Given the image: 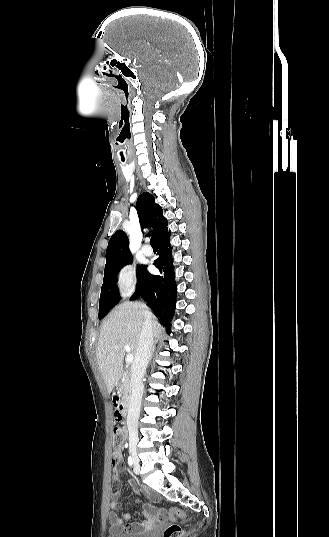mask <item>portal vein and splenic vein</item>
I'll return each instance as SVG.
<instances>
[{
  "mask_svg": "<svg viewBox=\"0 0 329 537\" xmlns=\"http://www.w3.org/2000/svg\"><path fill=\"white\" fill-rule=\"evenodd\" d=\"M124 350L126 352H128V355L126 357V362L131 363L133 361L134 357H133V355L130 354V350H131L130 346L129 345H124Z\"/></svg>",
  "mask_w": 329,
  "mask_h": 537,
  "instance_id": "obj_1",
  "label": "portal vein and splenic vein"
}]
</instances>
